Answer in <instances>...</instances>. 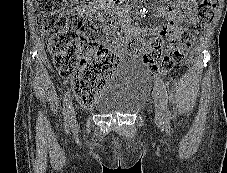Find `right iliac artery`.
<instances>
[{
  "label": "right iliac artery",
  "instance_id": "obj_1",
  "mask_svg": "<svg viewBox=\"0 0 227 173\" xmlns=\"http://www.w3.org/2000/svg\"><path fill=\"white\" fill-rule=\"evenodd\" d=\"M70 105H71L70 92L66 91L63 98V115L66 127H69L70 125V108H71Z\"/></svg>",
  "mask_w": 227,
  "mask_h": 173
}]
</instances>
